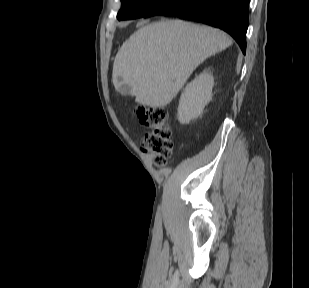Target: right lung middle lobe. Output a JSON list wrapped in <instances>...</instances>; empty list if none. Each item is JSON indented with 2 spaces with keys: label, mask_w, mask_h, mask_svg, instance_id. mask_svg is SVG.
I'll list each match as a JSON object with an SVG mask.
<instances>
[{
  "label": "right lung middle lobe",
  "mask_w": 309,
  "mask_h": 288,
  "mask_svg": "<svg viewBox=\"0 0 309 288\" xmlns=\"http://www.w3.org/2000/svg\"><path fill=\"white\" fill-rule=\"evenodd\" d=\"M165 0H121L122 8L117 14L118 20H128L143 17Z\"/></svg>",
  "instance_id": "dd1d6c3e"
}]
</instances>
